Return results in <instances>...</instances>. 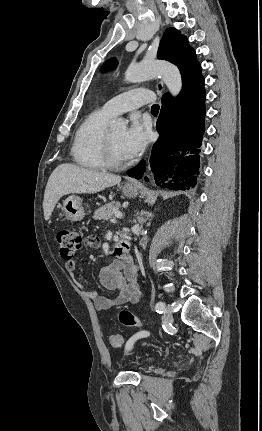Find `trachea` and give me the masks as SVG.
<instances>
[{
	"label": "trachea",
	"mask_w": 262,
	"mask_h": 431,
	"mask_svg": "<svg viewBox=\"0 0 262 431\" xmlns=\"http://www.w3.org/2000/svg\"><path fill=\"white\" fill-rule=\"evenodd\" d=\"M151 112H152L153 114H157V113L159 112V105H158V104H154V105H152V107H151Z\"/></svg>",
	"instance_id": "trachea-1"
}]
</instances>
